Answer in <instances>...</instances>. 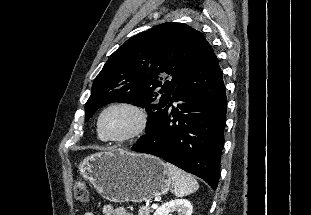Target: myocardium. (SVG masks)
<instances>
[{"label":"myocardium","mask_w":311,"mask_h":215,"mask_svg":"<svg viewBox=\"0 0 311 215\" xmlns=\"http://www.w3.org/2000/svg\"><path fill=\"white\" fill-rule=\"evenodd\" d=\"M117 107H123L132 110L138 117L137 125L131 132L125 135L106 136L102 130V118L107 111ZM147 125H148V115L145 109L142 108L140 105L130 101H116L108 104L101 110L97 118V132L100 138L105 141L114 143H124L141 137L145 133Z\"/></svg>","instance_id":"myocardium-1"}]
</instances>
